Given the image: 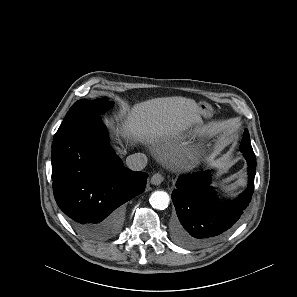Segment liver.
I'll return each instance as SVG.
<instances>
[{
    "instance_id": "obj_1",
    "label": "liver",
    "mask_w": 297,
    "mask_h": 297,
    "mask_svg": "<svg viewBox=\"0 0 297 297\" xmlns=\"http://www.w3.org/2000/svg\"><path fill=\"white\" fill-rule=\"evenodd\" d=\"M121 117L122 124L114 129L117 136L152 144L179 137L192 125L201 123L197 103L178 96L141 102L124 110ZM108 123L112 125L111 121Z\"/></svg>"
}]
</instances>
